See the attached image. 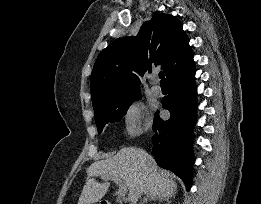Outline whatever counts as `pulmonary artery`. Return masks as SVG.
I'll return each mask as SVG.
<instances>
[{
  "instance_id": "obj_1",
  "label": "pulmonary artery",
  "mask_w": 261,
  "mask_h": 204,
  "mask_svg": "<svg viewBox=\"0 0 261 204\" xmlns=\"http://www.w3.org/2000/svg\"><path fill=\"white\" fill-rule=\"evenodd\" d=\"M154 78V80H156V77L154 76L153 77ZM152 92L155 94V95H160L161 93H162V89H161V87L158 85V84H154L153 86H152Z\"/></svg>"
}]
</instances>
